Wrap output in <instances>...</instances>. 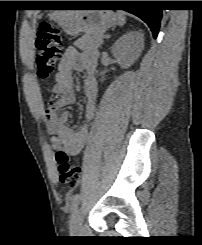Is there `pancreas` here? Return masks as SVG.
I'll use <instances>...</instances> for the list:
<instances>
[{"label":"pancreas","mask_w":202,"mask_h":245,"mask_svg":"<svg viewBox=\"0 0 202 245\" xmlns=\"http://www.w3.org/2000/svg\"><path fill=\"white\" fill-rule=\"evenodd\" d=\"M99 39L98 36L86 34L75 42V46L84 51L97 49L101 46Z\"/></svg>","instance_id":"obj_1"}]
</instances>
